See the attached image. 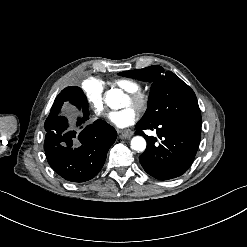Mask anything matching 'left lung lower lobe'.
I'll return each instance as SVG.
<instances>
[{"instance_id": "left-lung-lower-lobe-1", "label": "left lung lower lobe", "mask_w": 247, "mask_h": 247, "mask_svg": "<svg viewBox=\"0 0 247 247\" xmlns=\"http://www.w3.org/2000/svg\"><path fill=\"white\" fill-rule=\"evenodd\" d=\"M135 128L136 134L147 141V148L139 161L149 175L160 180L172 179L184 174L191 166L199 147L201 126L170 120L154 125L137 124ZM144 129H156L161 142L145 135Z\"/></svg>"}]
</instances>
